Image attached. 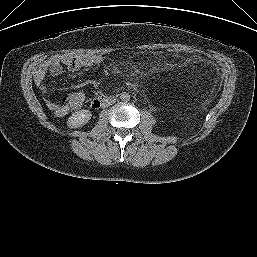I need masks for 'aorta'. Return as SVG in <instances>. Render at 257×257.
Listing matches in <instances>:
<instances>
[{"mask_svg": "<svg viewBox=\"0 0 257 257\" xmlns=\"http://www.w3.org/2000/svg\"><path fill=\"white\" fill-rule=\"evenodd\" d=\"M120 99L122 101H129L130 100V95L127 92H122L120 95Z\"/></svg>", "mask_w": 257, "mask_h": 257, "instance_id": "aorta-1", "label": "aorta"}]
</instances>
